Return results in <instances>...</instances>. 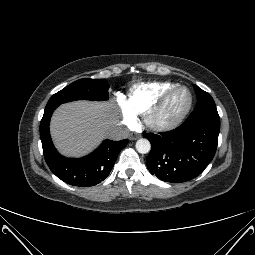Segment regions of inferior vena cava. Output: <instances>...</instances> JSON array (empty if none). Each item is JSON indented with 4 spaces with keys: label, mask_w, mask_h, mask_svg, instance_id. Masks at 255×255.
I'll use <instances>...</instances> for the list:
<instances>
[{
    "label": "inferior vena cava",
    "mask_w": 255,
    "mask_h": 255,
    "mask_svg": "<svg viewBox=\"0 0 255 255\" xmlns=\"http://www.w3.org/2000/svg\"><path fill=\"white\" fill-rule=\"evenodd\" d=\"M129 130L127 128L115 127L107 132V137L112 140H122L127 138Z\"/></svg>",
    "instance_id": "602c4592"
}]
</instances>
